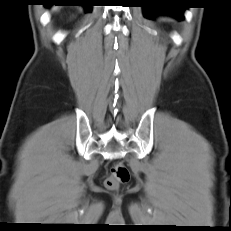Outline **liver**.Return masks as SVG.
Returning <instances> with one entry per match:
<instances>
[{
    "mask_svg": "<svg viewBox=\"0 0 231 231\" xmlns=\"http://www.w3.org/2000/svg\"><path fill=\"white\" fill-rule=\"evenodd\" d=\"M52 10H53V11H58L59 8H58V7H53Z\"/></svg>",
    "mask_w": 231,
    "mask_h": 231,
    "instance_id": "6515ba94",
    "label": "liver"
}]
</instances>
